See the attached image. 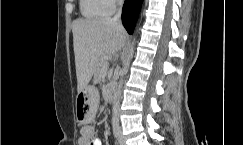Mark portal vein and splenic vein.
<instances>
[{"instance_id":"1","label":"portal vein and splenic vein","mask_w":243,"mask_h":145,"mask_svg":"<svg viewBox=\"0 0 243 145\" xmlns=\"http://www.w3.org/2000/svg\"><path fill=\"white\" fill-rule=\"evenodd\" d=\"M108 66H109V65H107V67H106V70H105V72L107 71V69H108Z\"/></svg>"}]
</instances>
